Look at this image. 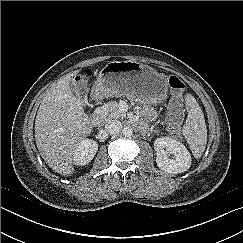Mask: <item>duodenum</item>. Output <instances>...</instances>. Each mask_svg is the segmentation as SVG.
<instances>
[{
  "mask_svg": "<svg viewBox=\"0 0 243 243\" xmlns=\"http://www.w3.org/2000/svg\"><path fill=\"white\" fill-rule=\"evenodd\" d=\"M90 121L93 125H100L102 122V114L99 111H92L90 114Z\"/></svg>",
  "mask_w": 243,
  "mask_h": 243,
  "instance_id": "410a0bca",
  "label": "duodenum"
}]
</instances>
